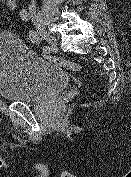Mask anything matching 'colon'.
I'll return each mask as SVG.
<instances>
[{
	"instance_id": "obj_1",
	"label": "colon",
	"mask_w": 131,
	"mask_h": 177,
	"mask_svg": "<svg viewBox=\"0 0 131 177\" xmlns=\"http://www.w3.org/2000/svg\"><path fill=\"white\" fill-rule=\"evenodd\" d=\"M1 2H2L3 13L6 14L12 20H14L18 12V0H1ZM44 58L50 61L51 63L70 71L79 72L82 70V66L73 61H69V60H65L62 58L53 57L49 55H44Z\"/></svg>"
}]
</instances>
